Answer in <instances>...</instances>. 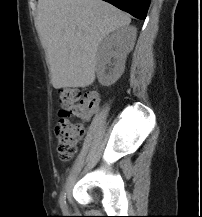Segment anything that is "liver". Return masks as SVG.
Listing matches in <instances>:
<instances>
[{"label": "liver", "mask_w": 202, "mask_h": 217, "mask_svg": "<svg viewBox=\"0 0 202 217\" xmlns=\"http://www.w3.org/2000/svg\"><path fill=\"white\" fill-rule=\"evenodd\" d=\"M130 22L128 14L102 0H38L35 26L53 87L91 85L103 38Z\"/></svg>", "instance_id": "liver-1"}]
</instances>
